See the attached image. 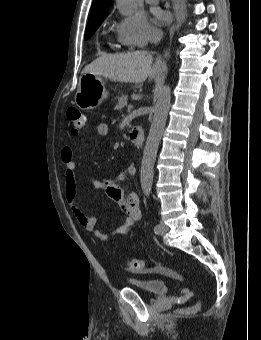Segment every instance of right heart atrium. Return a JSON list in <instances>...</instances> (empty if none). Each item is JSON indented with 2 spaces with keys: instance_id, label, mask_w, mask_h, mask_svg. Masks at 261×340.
Listing matches in <instances>:
<instances>
[{
  "instance_id": "right-heart-atrium-1",
  "label": "right heart atrium",
  "mask_w": 261,
  "mask_h": 340,
  "mask_svg": "<svg viewBox=\"0 0 261 340\" xmlns=\"http://www.w3.org/2000/svg\"><path fill=\"white\" fill-rule=\"evenodd\" d=\"M117 31L124 40L135 47H144L152 38L159 35V31L149 23L142 12L122 17Z\"/></svg>"
}]
</instances>
